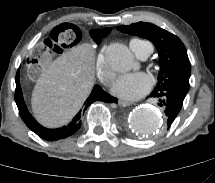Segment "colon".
Listing matches in <instances>:
<instances>
[{
    "label": "colon",
    "instance_id": "colon-1",
    "mask_svg": "<svg viewBox=\"0 0 215 183\" xmlns=\"http://www.w3.org/2000/svg\"><path fill=\"white\" fill-rule=\"evenodd\" d=\"M81 27L74 20H63L51 32L39 36L29 48L26 70L33 77L49 73L53 60L81 39Z\"/></svg>",
    "mask_w": 215,
    "mask_h": 183
}]
</instances>
